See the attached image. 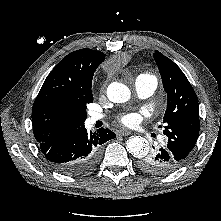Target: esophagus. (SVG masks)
Masks as SVG:
<instances>
[{
    "mask_svg": "<svg viewBox=\"0 0 221 221\" xmlns=\"http://www.w3.org/2000/svg\"><path fill=\"white\" fill-rule=\"evenodd\" d=\"M117 134H118L119 136H128V135L131 134V131L122 129V130L118 131Z\"/></svg>",
    "mask_w": 221,
    "mask_h": 221,
    "instance_id": "1",
    "label": "esophagus"
}]
</instances>
